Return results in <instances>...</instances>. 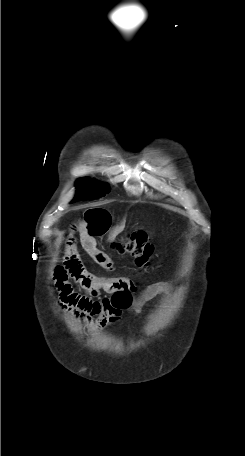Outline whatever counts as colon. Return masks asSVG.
Masks as SVG:
<instances>
[{"mask_svg":"<svg viewBox=\"0 0 245 456\" xmlns=\"http://www.w3.org/2000/svg\"><path fill=\"white\" fill-rule=\"evenodd\" d=\"M114 249L123 255H129L139 268H147L153 255V246L143 231L132 232L125 241L118 242Z\"/></svg>","mask_w":245,"mask_h":456,"instance_id":"1","label":"colon"}]
</instances>
